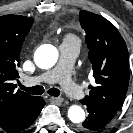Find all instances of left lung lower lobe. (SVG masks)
<instances>
[{
  "mask_svg": "<svg viewBox=\"0 0 133 133\" xmlns=\"http://www.w3.org/2000/svg\"><path fill=\"white\" fill-rule=\"evenodd\" d=\"M81 103L87 107L88 111L87 119L80 126L83 133L100 131L117 113V111L105 109L96 103H88L83 100H81Z\"/></svg>",
  "mask_w": 133,
  "mask_h": 133,
  "instance_id": "left-lung-lower-lobe-1",
  "label": "left lung lower lobe"
}]
</instances>
